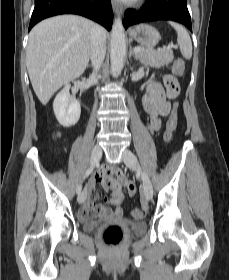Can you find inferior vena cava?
<instances>
[{"instance_id": "inferior-vena-cava-1", "label": "inferior vena cava", "mask_w": 229, "mask_h": 280, "mask_svg": "<svg viewBox=\"0 0 229 280\" xmlns=\"http://www.w3.org/2000/svg\"><path fill=\"white\" fill-rule=\"evenodd\" d=\"M106 53V35L105 30L97 24H94L91 29V52L90 59L92 62L93 73L90 80L96 83V73L100 69Z\"/></svg>"}]
</instances>
